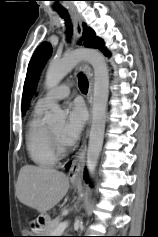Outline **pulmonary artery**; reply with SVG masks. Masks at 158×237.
<instances>
[{"instance_id":"obj_1","label":"pulmonary artery","mask_w":158,"mask_h":237,"mask_svg":"<svg viewBox=\"0 0 158 237\" xmlns=\"http://www.w3.org/2000/svg\"><path fill=\"white\" fill-rule=\"evenodd\" d=\"M71 87L68 83H63L50 91L48 94L40 98L37 102L38 106L47 107L52 101L65 99L70 95Z\"/></svg>"}]
</instances>
